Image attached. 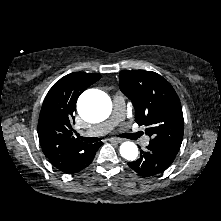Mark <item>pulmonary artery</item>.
Returning <instances> with one entry per match:
<instances>
[{
  "instance_id": "obj_1",
  "label": "pulmonary artery",
  "mask_w": 221,
  "mask_h": 221,
  "mask_svg": "<svg viewBox=\"0 0 221 221\" xmlns=\"http://www.w3.org/2000/svg\"><path fill=\"white\" fill-rule=\"evenodd\" d=\"M125 116V98L122 94H117L113 98V113L111 117L92 128L97 135H104L111 131ZM89 134V133H87ZM150 138L145 136L142 138V145L147 146L149 144Z\"/></svg>"
}]
</instances>
